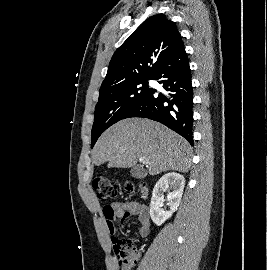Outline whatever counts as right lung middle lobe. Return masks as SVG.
<instances>
[{
	"label": "right lung middle lobe",
	"mask_w": 267,
	"mask_h": 270,
	"mask_svg": "<svg viewBox=\"0 0 267 270\" xmlns=\"http://www.w3.org/2000/svg\"><path fill=\"white\" fill-rule=\"evenodd\" d=\"M149 79L150 77L130 80L100 91L95 108L91 147L107 128L122 120L145 96L149 89Z\"/></svg>",
	"instance_id": "dd1d6c3e"
}]
</instances>
